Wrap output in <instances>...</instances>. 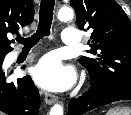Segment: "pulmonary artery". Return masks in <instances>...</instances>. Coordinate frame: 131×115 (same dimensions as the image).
<instances>
[{"label": "pulmonary artery", "mask_w": 131, "mask_h": 115, "mask_svg": "<svg viewBox=\"0 0 131 115\" xmlns=\"http://www.w3.org/2000/svg\"><path fill=\"white\" fill-rule=\"evenodd\" d=\"M62 42L67 46H78L81 42L79 30L75 28H65L62 32Z\"/></svg>", "instance_id": "1"}]
</instances>
